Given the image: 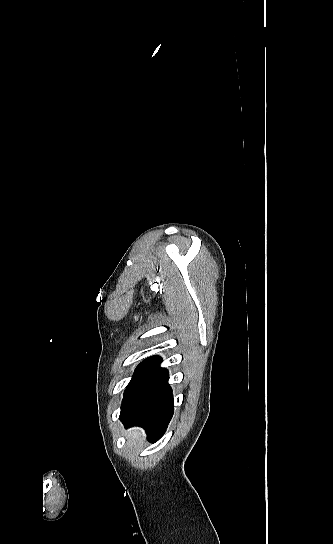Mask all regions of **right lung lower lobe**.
<instances>
[{
	"instance_id": "obj_1",
	"label": "right lung lower lobe",
	"mask_w": 333,
	"mask_h": 544,
	"mask_svg": "<svg viewBox=\"0 0 333 544\" xmlns=\"http://www.w3.org/2000/svg\"><path fill=\"white\" fill-rule=\"evenodd\" d=\"M162 359H146L128 384L121 406L120 420L128 427H143L152 441L165 432L174 411L168 371L160 367Z\"/></svg>"
}]
</instances>
